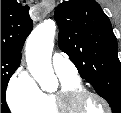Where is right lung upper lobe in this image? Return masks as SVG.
I'll list each match as a JSON object with an SVG mask.
<instances>
[{"label": "right lung upper lobe", "mask_w": 121, "mask_h": 113, "mask_svg": "<svg viewBox=\"0 0 121 113\" xmlns=\"http://www.w3.org/2000/svg\"><path fill=\"white\" fill-rule=\"evenodd\" d=\"M28 10L16 0H1V55L21 60L23 44L33 28Z\"/></svg>", "instance_id": "cb5924a9"}]
</instances>
